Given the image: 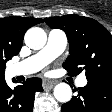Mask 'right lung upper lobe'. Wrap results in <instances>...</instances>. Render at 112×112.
I'll return each instance as SVG.
<instances>
[{
  "mask_svg": "<svg viewBox=\"0 0 112 112\" xmlns=\"http://www.w3.org/2000/svg\"><path fill=\"white\" fill-rule=\"evenodd\" d=\"M41 22H43L41 18L20 16L0 18V59L17 55L21 50L25 32ZM4 80V75H0V83Z\"/></svg>",
  "mask_w": 112,
  "mask_h": 112,
  "instance_id": "1",
  "label": "right lung upper lobe"
}]
</instances>
